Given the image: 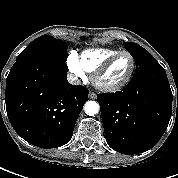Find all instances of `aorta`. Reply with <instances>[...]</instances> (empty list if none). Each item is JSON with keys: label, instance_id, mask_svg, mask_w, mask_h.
I'll return each mask as SVG.
<instances>
[{"label": "aorta", "instance_id": "1", "mask_svg": "<svg viewBox=\"0 0 178 178\" xmlns=\"http://www.w3.org/2000/svg\"><path fill=\"white\" fill-rule=\"evenodd\" d=\"M84 110L87 115L94 116L99 112V104L96 101H87Z\"/></svg>", "mask_w": 178, "mask_h": 178}]
</instances>
